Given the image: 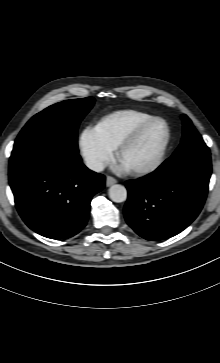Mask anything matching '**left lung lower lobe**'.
Returning a JSON list of instances; mask_svg holds the SVG:
<instances>
[{
  "instance_id": "left-lung-lower-lobe-1",
  "label": "left lung lower lobe",
  "mask_w": 220,
  "mask_h": 363,
  "mask_svg": "<svg viewBox=\"0 0 220 363\" xmlns=\"http://www.w3.org/2000/svg\"><path fill=\"white\" fill-rule=\"evenodd\" d=\"M211 170L209 150L189 149L173 154L149 175L126 182L128 225L152 241L180 233L203 207Z\"/></svg>"
}]
</instances>
